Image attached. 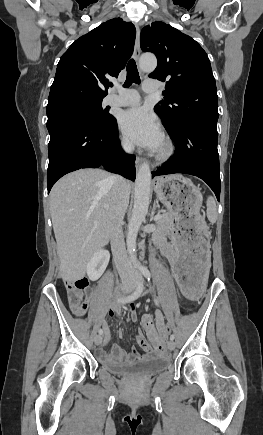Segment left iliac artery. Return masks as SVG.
I'll use <instances>...</instances> for the list:
<instances>
[{
    "label": "left iliac artery",
    "instance_id": "44dca946",
    "mask_svg": "<svg viewBox=\"0 0 263 435\" xmlns=\"http://www.w3.org/2000/svg\"><path fill=\"white\" fill-rule=\"evenodd\" d=\"M140 270H141L142 274H143V275H144L148 280H150L151 274H150V271L147 269V267L142 266V267L140 268ZM154 301H155L156 305L159 304V302H158V300H157L156 298L154 299ZM174 338H175V336H174V334H172V335L170 336V340L173 341Z\"/></svg>",
    "mask_w": 263,
    "mask_h": 435
}]
</instances>
